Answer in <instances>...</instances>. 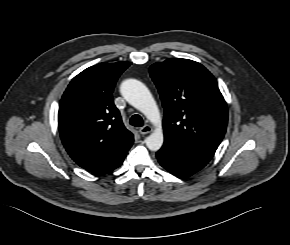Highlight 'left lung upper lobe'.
I'll use <instances>...</instances> for the list:
<instances>
[{
  "label": "left lung upper lobe",
  "instance_id": "5c2ea615",
  "mask_svg": "<svg viewBox=\"0 0 290 245\" xmlns=\"http://www.w3.org/2000/svg\"><path fill=\"white\" fill-rule=\"evenodd\" d=\"M149 71L164 107V143L211 159L228 120L214 76L200 63L178 58L157 62Z\"/></svg>",
  "mask_w": 290,
  "mask_h": 245
}]
</instances>
